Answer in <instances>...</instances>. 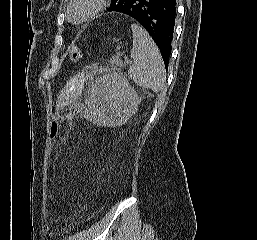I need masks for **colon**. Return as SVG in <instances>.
I'll list each match as a JSON object with an SVG mask.
<instances>
[{
	"label": "colon",
	"instance_id": "colon-1",
	"mask_svg": "<svg viewBox=\"0 0 257 240\" xmlns=\"http://www.w3.org/2000/svg\"><path fill=\"white\" fill-rule=\"evenodd\" d=\"M70 60L71 61H78L81 59L82 57V51L79 47H73L70 51ZM60 129H61V119L60 116L58 114H54L49 126V138L51 140H55L60 133Z\"/></svg>",
	"mask_w": 257,
	"mask_h": 240
}]
</instances>
